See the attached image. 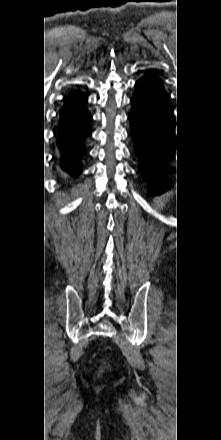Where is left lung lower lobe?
I'll return each mask as SVG.
<instances>
[{
  "label": "left lung lower lobe",
  "instance_id": "left-lung-lower-lobe-1",
  "mask_svg": "<svg viewBox=\"0 0 221 440\" xmlns=\"http://www.w3.org/2000/svg\"><path fill=\"white\" fill-rule=\"evenodd\" d=\"M129 114L139 171L149 181L151 195L163 192L169 180L163 173L167 156L176 148L173 107L162 81L146 74L135 84Z\"/></svg>",
  "mask_w": 221,
  "mask_h": 440
}]
</instances>
